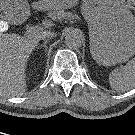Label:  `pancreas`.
I'll list each match as a JSON object with an SVG mask.
<instances>
[{
    "label": "pancreas",
    "instance_id": "obj_1",
    "mask_svg": "<svg viewBox=\"0 0 135 135\" xmlns=\"http://www.w3.org/2000/svg\"><path fill=\"white\" fill-rule=\"evenodd\" d=\"M49 16L53 19V20H61L63 18L69 17L70 13L64 12V11H53L51 13H49Z\"/></svg>",
    "mask_w": 135,
    "mask_h": 135
}]
</instances>
